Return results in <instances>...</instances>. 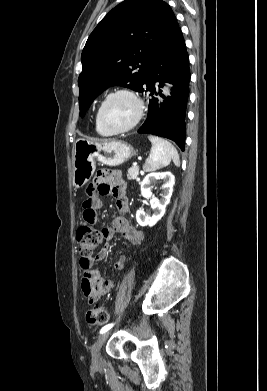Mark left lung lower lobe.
Returning a JSON list of instances; mask_svg holds the SVG:
<instances>
[{
	"instance_id": "0a47b994",
	"label": "left lung lower lobe",
	"mask_w": 267,
	"mask_h": 391,
	"mask_svg": "<svg viewBox=\"0 0 267 391\" xmlns=\"http://www.w3.org/2000/svg\"><path fill=\"white\" fill-rule=\"evenodd\" d=\"M189 57L181 29L178 27L151 58L142 87L150 91L148 116L139 133L154 134L173 140L182 151L185 146V113L189 95ZM173 84L171 96L158 104L155 83ZM160 96L164 97L159 90Z\"/></svg>"
}]
</instances>
